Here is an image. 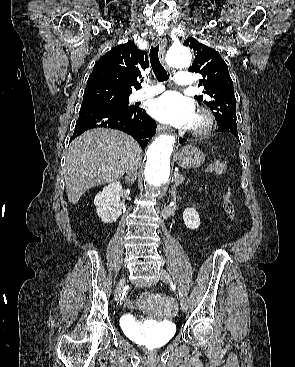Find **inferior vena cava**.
Wrapping results in <instances>:
<instances>
[{
  "label": "inferior vena cava",
  "mask_w": 295,
  "mask_h": 367,
  "mask_svg": "<svg viewBox=\"0 0 295 367\" xmlns=\"http://www.w3.org/2000/svg\"><path fill=\"white\" fill-rule=\"evenodd\" d=\"M137 164H132V165H130L128 168H127V170H126V172H127V174L130 176V177H134V176H136V173H137Z\"/></svg>",
  "instance_id": "inferior-vena-cava-1"
}]
</instances>
